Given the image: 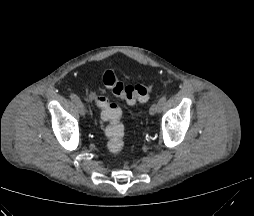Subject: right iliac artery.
I'll return each instance as SVG.
<instances>
[{
    "mask_svg": "<svg viewBox=\"0 0 254 216\" xmlns=\"http://www.w3.org/2000/svg\"><path fill=\"white\" fill-rule=\"evenodd\" d=\"M70 98L75 103H81V100L79 99V97L76 94H71ZM89 115H92V113L89 112Z\"/></svg>",
    "mask_w": 254,
    "mask_h": 216,
    "instance_id": "right-iliac-artery-1",
    "label": "right iliac artery"
}]
</instances>
